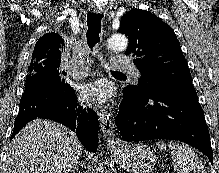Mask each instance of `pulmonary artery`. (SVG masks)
<instances>
[{
  "label": "pulmonary artery",
  "mask_w": 219,
  "mask_h": 173,
  "mask_svg": "<svg viewBox=\"0 0 219 173\" xmlns=\"http://www.w3.org/2000/svg\"><path fill=\"white\" fill-rule=\"evenodd\" d=\"M112 64L114 70L128 72L133 79H139L141 77L140 71L128 58H114L112 59ZM72 72L75 77L81 78L87 74L88 70L87 68H74Z\"/></svg>",
  "instance_id": "pulmonary-artery-1"
}]
</instances>
